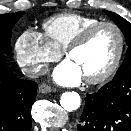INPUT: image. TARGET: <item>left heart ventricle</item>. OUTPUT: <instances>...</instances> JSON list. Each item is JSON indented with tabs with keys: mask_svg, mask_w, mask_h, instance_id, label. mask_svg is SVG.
Returning a JSON list of instances; mask_svg holds the SVG:
<instances>
[{
	"mask_svg": "<svg viewBox=\"0 0 131 131\" xmlns=\"http://www.w3.org/2000/svg\"><path fill=\"white\" fill-rule=\"evenodd\" d=\"M117 49L116 31L111 27H103L97 30L84 46L72 52L68 60L80 70L83 78L94 77L110 66Z\"/></svg>",
	"mask_w": 131,
	"mask_h": 131,
	"instance_id": "1",
	"label": "left heart ventricle"
}]
</instances>
